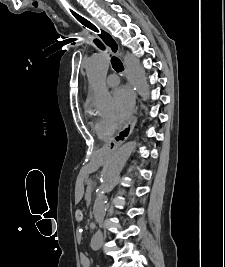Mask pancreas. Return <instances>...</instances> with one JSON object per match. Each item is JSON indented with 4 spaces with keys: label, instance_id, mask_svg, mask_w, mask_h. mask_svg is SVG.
I'll return each mask as SVG.
<instances>
[{
    "label": "pancreas",
    "instance_id": "1",
    "mask_svg": "<svg viewBox=\"0 0 225 267\" xmlns=\"http://www.w3.org/2000/svg\"><path fill=\"white\" fill-rule=\"evenodd\" d=\"M85 200L87 201V203H89L91 200V188L90 187H88L86 190Z\"/></svg>",
    "mask_w": 225,
    "mask_h": 267
}]
</instances>
